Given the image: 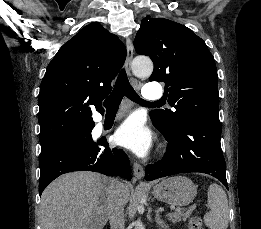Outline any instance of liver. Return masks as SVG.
<instances>
[{
	"instance_id": "liver-1",
	"label": "liver",
	"mask_w": 261,
	"mask_h": 229,
	"mask_svg": "<svg viewBox=\"0 0 261 229\" xmlns=\"http://www.w3.org/2000/svg\"><path fill=\"white\" fill-rule=\"evenodd\" d=\"M112 179L100 173L77 171L61 175L41 195L40 229H104L108 223L107 203ZM121 199H130L123 183Z\"/></svg>"
}]
</instances>
